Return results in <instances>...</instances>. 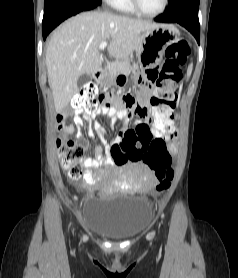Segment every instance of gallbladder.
<instances>
[{
	"instance_id": "obj_1",
	"label": "gallbladder",
	"mask_w": 238,
	"mask_h": 278,
	"mask_svg": "<svg viewBox=\"0 0 238 278\" xmlns=\"http://www.w3.org/2000/svg\"><path fill=\"white\" fill-rule=\"evenodd\" d=\"M90 80V75L83 74L78 78L77 85L78 87H82L83 85L87 84Z\"/></svg>"
}]
</instances>
